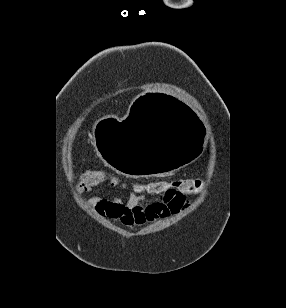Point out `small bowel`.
<instances>
[{
    "label": "small bowel",
    "instance_id": "obj_1",
    "mask_svg": "<svg viewBox=\"0 0 286 308\" xmlns=\"http://www.w3.org/2000/svg\"><path fill=\"white\" fill-rule=\"evenodd\" d=\"M191 194L193 193L171 190L155 201H150L144 193H131L124 198L96 195L88 203L100 216L133 228L179 213L188 206Z\"/></svg>",
    "mask_w": 286,
    "mask_h": 308
}]
</instances>
